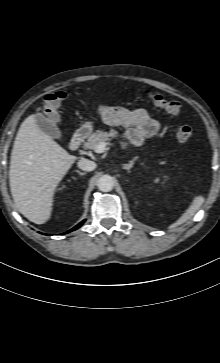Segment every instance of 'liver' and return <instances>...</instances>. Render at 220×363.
Listing matches in <instances>:
<instances>
[{
	"label": "liver",
	"mask_w": 220,
	"mask_h": 363,
	"mask_svg": "<svg viewBox=\"0 0 220 363\" xmlns=\"http://www.w3.org/2000/svg\"><path fill=\"white\" fill-rule=\"evenodd\" d=\"M76 159L40 130L36 114L28 116L10 159V190L18 211L36 224L49 220L56 188Z\"/></svg>",
	"instance_id": "liver-1"
}]
</instances>
